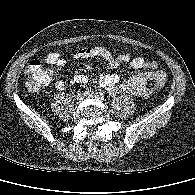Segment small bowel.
<instances>
[{
	"label": "small bowel",
	"mask_w": 195,
	"mask_h": 195,
	"mask_svg": "<svg viewBox=\"0 0 195 195\" xmlns=\"http://www.w3.org/2000/svg\"><path fill=\"white\" fill-rule=\"evenodd\" d=\"M94 57H100L107 62L108 67L116 68L122 63H128L132 68L136 69V73L130 76L125 82H120V78L116 74H101L99 83L110 95L118 93H130L133 95L149 96L150 89L146 86L148 81L156 80L159 76L165 75V72L158 69V63L155 60H145L142 57H131L128 52L120 51L113 54L111 51L102 48L82 49L75 54V58L83 60ZM48 61L60 68L65 66V61L57 52L48 56ZM88 77L82 72L76 71L70 84H85ZM54 84L57 88H63L64 82L56 79Z\"/></svg>",
	"instance_id": "c3829d8e"
}]
</instances>
